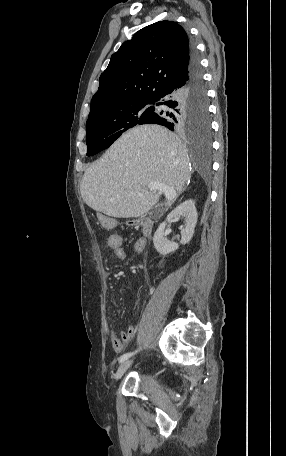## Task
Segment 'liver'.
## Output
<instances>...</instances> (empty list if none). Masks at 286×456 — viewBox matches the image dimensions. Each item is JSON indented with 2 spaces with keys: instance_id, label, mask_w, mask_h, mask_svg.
Masks as SVG:
<instances>
[{
  "instance_id": "obj_1",
  "label": "liver",
  "mask_w": 286,
  "mask_h": 456,
  "mask_svg": "<svg viewBox=\"0 0 286 456\" xmlns=\"http://www.w3.org/2000/svg\"><path fill=\"white\" fill-rule=\"evenodd\" d=\"M191 176L188 151L181 140L159 125L137 126L124 133L89 167L80 184L92 209L116 218L140 217L159 200L150 182L181 193Z\"/></svg>"
}]
</instances>
